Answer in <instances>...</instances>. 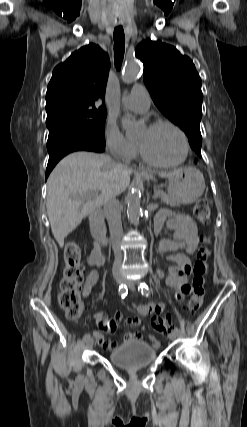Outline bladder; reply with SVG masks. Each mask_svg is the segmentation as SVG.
Listing matches in <instances>:
<instances>
[{"mask_svg":"<svg viewBox=\"0 0 247 427\" xmlns=\"http://www.w3.org/2000/svg\"><path fill=\"white\" fill-rule=\"evenodd\" d=\"M157 356V350L142 341L125 342L109 353V360L124 369H139L151 364Z\"/></svg>","mask_w":247,"mask_h":427,"instance_id":"1","label":"bladder"}]
</instances>
